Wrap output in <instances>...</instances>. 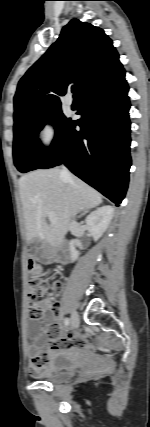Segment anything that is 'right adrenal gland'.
I'll list each match as a JSON object with an SVG mask.
<instances>
[{
    "label": "right adrenal gland",
    "instance_id": "2a0ac1e0",
    "mask_svg": "<svg viewBox=\"0 0 150 427\" xmlns=\"http://www.w3.org/2000/svg\"><path fill=\"white\" fill-rule=\"evenodd\" d=\"M88 212V210H86L85 212H83L80 217L84 216L86 213Z\"/></svg>",
    "mask_w": 150,
    "mask_h": 427
}]
</instances>
